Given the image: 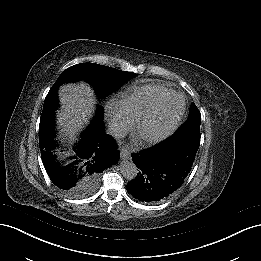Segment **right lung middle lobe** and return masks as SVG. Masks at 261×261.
I'll return each mask as SVG.
<instances>
[{"label": "right lung middle lobe", "instance_id": "1", "mask_svg": "<svg viewBox=\"0 0 261 261\" xmlns=\"http://www.w3.org/2000/svg\"><path fill=\"white\" fill-rule=\"evenodd\" d=\"M134 76L135 73L133 72L120 71L95 63H80L63 71L55 84L59 85L64 82L85 79L100 96L115 91L119 86ZM85 183V181L80 182L74 195H78L80 191H82Z\"/></svg>", "mask_w": 261, "mask_h": 261}]
</instances>
